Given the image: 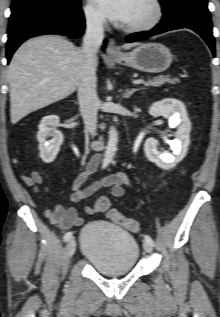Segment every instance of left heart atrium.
<instances>
[{
	"instance_id": "obj_1",
	"label": "left heart atrium",
	"mask_w": 220,
	"mask_h": 317,
	"mask_svg": "<svg viewBox=\"0 0 220 317\" xmlns=\"http://www.w3.org/2000/svg\"><path fill=\"white\" fill-rule=\"evenodd\" d=\"M107 18L125 24L129 17L133 0H93Z\"/></svg>"
}]
</instances>
